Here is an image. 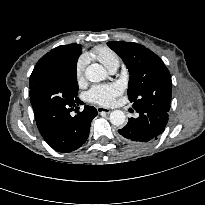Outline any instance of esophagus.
<instances>
[{"mask_svg":"<svg viewBox=\"0 0 205 205\" xmlns=\"http://www.w3.org/2000/svg\"><path fill=\"white\" fill-rule=\"evenodd\" d=\"M97 111L98 113H105V114H109L111 112L110 109L104 107H97Z\"/></svg>","mask_w":205,"mask_h":205,"instance_id":"esophagus-1","label":"esophagus"}]
</instances>
